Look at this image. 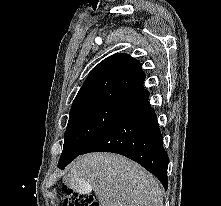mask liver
<instances>
[{
	"label": "liver",
	"mask_w": 221,
	"mask_h": 206,
	"mask_svg": "<svg viewBox=\"0 0 221 206\" xmlns=\"http://www.w3.org/2000/svg\"><path fill=\"white\" fill-rule=\"evenodd\" d=\"M69 169L64 183L79 193L94 190L101 206H163L156 178L121 155L86 154Z\"/></svg>",
	"instance_id": "6515ba94"
}]
</instances>
